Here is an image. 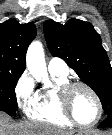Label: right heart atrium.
<instances>
[{
	"mask_svg": "<svg viewBox=\"0 0 112 135\" xmlns=\"http://www.w3.org/2000/svg\"><path fill=\"white\" fill-rule=\"evenodd\" d=\"M14 95L18 107L27 112L37 95L35 82L27 72L18 78L14 87Z\"/></svg>",
	"mask_w": 112,
	"mask_h": 135,
	"instance_id": "1",
	"label": "right heart atrium"
}]
</instances>
